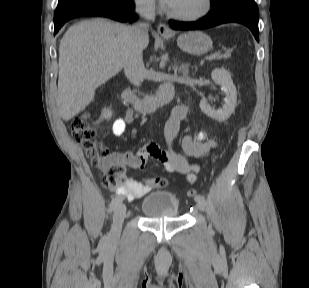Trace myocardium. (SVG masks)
<instances>
[{
	"mask_svg": "<svg viewBox=\"0 0 309 288\" xmlns=\"http://www.w3.org/2000/svg\"><path fill=\"white\" fill-rule=\"evenodd\" d=\"M213 0H204V6L201 11L194 14L177 13L172 10H168V15L182 21H196L207 16L212 9Z\"/></svg>",
	"mask_w": 309,
	"mask_h": 288,
	"instance_id": "myocardium-1",
	"label": "myocardium"
}]
</instances>
